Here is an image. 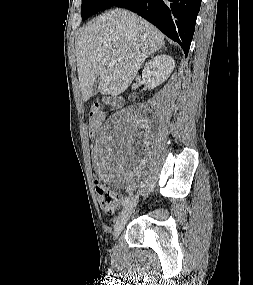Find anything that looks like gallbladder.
I'll return each instance as SVG.
<instances>
[{"label": "gallbladder", "mask_w": 253, "mask_h": 285, "mask_svg": "<svg viewBox=\"0 0 253 285\" xmlns=\"http://www.w3.org/2000/svg\"><path fill=\"white\" fill-rule=\"evenodd\" d=\"M99 83L100 77L98 76L92 87V96L96 95L99 92Z\"/></svg>", "instance_id": "1"}]
</instances>
